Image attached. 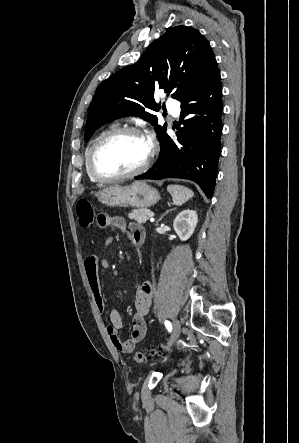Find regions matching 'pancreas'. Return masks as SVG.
<instances>
[{
	"label": "pancreas",
	"mask_w": 299,
	"mask_h": 443,
	"mask_svg": "<svg viewBox=\"0 0 299 443\" xmlns=\"http://www.w3.org/2000/svg\"><path fill=\"white\" fill-rule=\"evenodd\" d=\"M151 212L147 208H138L132 210V212L129 213V218L137 221L138 223H146L149 219L148 213Z\"/></svg>",
	"instance_id": "1"
}]
</instances>
